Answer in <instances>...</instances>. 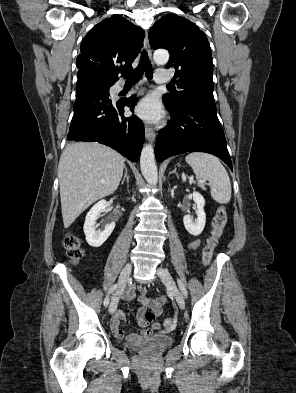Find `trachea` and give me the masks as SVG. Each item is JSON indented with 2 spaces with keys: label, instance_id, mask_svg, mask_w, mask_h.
<instances>
[{
  "label": "trachea",
  "instance_id": "obj_1",
  "mask_svg": "<svg viewBox=\"0 0 296 393\" xmlns=\"http://www.w3.org/2000/svg\"><path fill=\"white\" fill-rule=\"evenodd\" d=\"M144 72L148 79H152L153 68L146 51L141 53V59L136 69L131 72L123 73L124 77L126 78V84H135L141 79Z\"/></svg>",
  "mask_w": 296,
  "mask_h": 393
}]
</instances>
